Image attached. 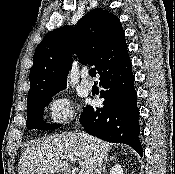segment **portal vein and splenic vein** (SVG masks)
<instances>
[{
  "instance_id": "obj_1",
  "label": "portal vein and splenic vein",
  "mask_w": 175,
  "mask_h": 174,
  "mask_svg": "<svg viewBox=\"0 0 175 174\" xmlns=\"http://www.w3.org/2000/svg\"><path fill=\"white\" fill-rule=\"evenodd\" d=\"M68 159L71 161V162H76V158H74V157H68ZM79 174H85L84 173V171L83 170H81L80 172H79Z\"/></svg>"
}]
</instances>
